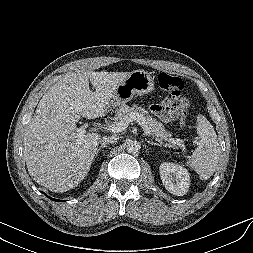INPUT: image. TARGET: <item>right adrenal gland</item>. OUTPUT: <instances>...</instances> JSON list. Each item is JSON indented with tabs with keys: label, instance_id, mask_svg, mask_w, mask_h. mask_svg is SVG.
<instances>
[{
	"label": "right adrenal gland",
	"instance_id": "2a0ac1e0",
	"mask_svg": "<svg viewBox=\"0 0 253 253\" xmlns=\"http://www.w3.org/2000/svg\"><path fill=\"white\" fill-rule=\"evenodd\" d=\"M105 147H106V145H101V146H99L98 149H97V151H96V155H98L99 151H100L101 149L105 148Z\"/></svg>",
	"mask_w": 253,
	"mask_h": 253
}]
</instances>
